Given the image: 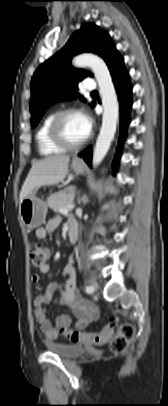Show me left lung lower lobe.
Returning a JSON list of instances; mask_svg holds the SVG:
<instances>
[{
  "label": "left lung lower lobe",
  "instance_id": "1",
  "mask_svg": "<svg viewBox=\"0 0 168 406\" xmlns=\"http://www.w3.org/2000/svg\"><path fill=\"white\" fill-rule=\"evenodd\" d=\"M110 73L112 75V79L114 85L116 87V91L118 94V99L120 102V109H121V129H120V139L119 145L117 149V153L114 160V165H116L119 161V157L121 154V148L123 141L126 138V128L130 122V109L132 107V85L129 81V74L128 71L124 67L123 58L117 53L112 60L108 64ZM80 157H83L84 160L91 165V148L88 147L84 151L79 154Z\"/></svg>",
  "mask_w": 168,
  "mask_h": 406
}]
</instances>
